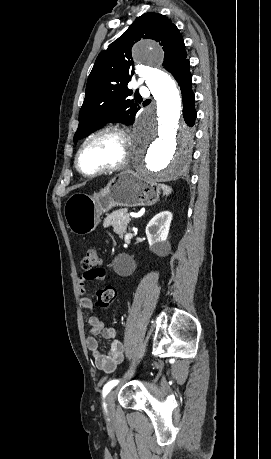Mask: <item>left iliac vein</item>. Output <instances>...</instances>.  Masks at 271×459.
<instances>
[{
  "label": "left iliac vein",
  "mask_w": 271,
  "mask_h": 459,
  "mask_svg": "<svg viewBox=\"0 0 271 459\" xmlns=\"http://www.w3.org/2000/svg\"><path fill=\"white\" fill-rule=\"evenodd\" d=\"M114 398H115V392L114 391H111L106 396V413L109 416L114 414V409H115Z\"/></svg>",
  "instance_id": "4c4485c4"
}]
</instances>
